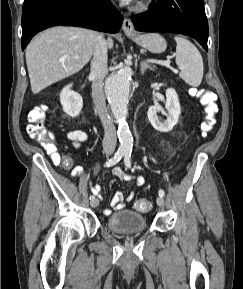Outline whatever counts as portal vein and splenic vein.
<instances>
[{
  "label": "portal vein and splenic vein",
  "instance_id": "obj_1",
  "mask_svg": "<svg viewBox=\"0 0 243 289\" xmlns=\"http://www.w3.org/2000/svg\"><path fill=\"white\" fill-rule=\"evenodd\" d=\"M149 62L151 63H156V64H159V65H163V66H169L170 64V60H165V61H162V60H149Z\"/></svg>",
  "mask_w": 243,
  "mask_h": 289
}]
</instances>
